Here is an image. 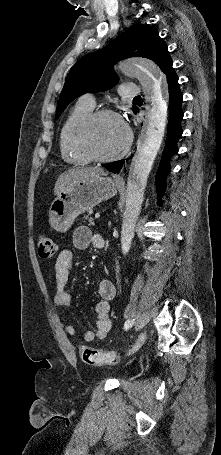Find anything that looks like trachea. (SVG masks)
I'll return each instance as SVG.
<instances>
[{"mask_svg":"<svg viewBox=\"0 0 221 455\" xmlns=\"http://www.w3.org/2000/svg\"><path fill=\"white\" fill-rule=\"evenodd\" d=\"M141 97L140 96H136L134 99H140Z\"/></svg>","mask_w":221,"mask_h":455,"instance_id":"3493384b","label":"trachea"}]
</instances>
